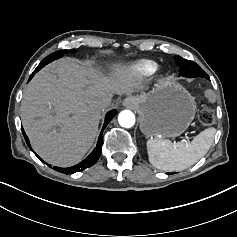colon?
Here are the masks:
<instances>
[{
	"label": "colon",
	"instance_id": "obj_1",
	"mask_svg": "<svg viewBox=\"0 0 237 237\" xmlns=\"http://www.w3.org/2000/svg\"><path fill=\"white\" fill-rule=\"evenodd\" d=\"M205 96L208 101L214 102L216 99L215 93L211 90H208L205 93ZM199 120L204 126H211L215 121L214 112L210 108L203 109L199 114Z\"/></svg>",
	"mask_w": 237,
	"mask_h": 237
}]
</instances>
